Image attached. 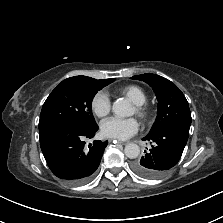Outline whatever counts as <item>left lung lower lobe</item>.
<instances>
[{
	"mask_svg": "<svg viewBox=\"0 0 223 223\" xmlns=\"http://www.w3.org/2000/svg\"><path fill=\"white\" fill-rule=\"evenodd\" d=\"M189 131L180 127H168L155 134H148L151 148L132 165L134 172L147 179L165 175L179 161L188 140Z\"/></svg>",
	"mask_w": 223,
	"mask_h": 223,
	"instance_id": "left-lung-lower-lobe-1",
	"label": "left lung lower lobe"
}]
</instances>
